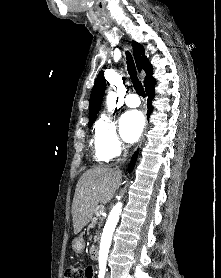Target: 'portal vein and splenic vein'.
Wrapping results in <instances>:
<instances>
[{
    "label": "portal vein and splenic vein",
    "mask_w": 221,
    "mask_h": 278,
    "mask_svg": "<svg viewBox=\"0 0 221 278\" xmlns=\"http://www.w3.org/2000/svg\"><path fill=\"white\" fill-rule=\"evenodd\" d=\"M104 212V205H101L99 208H98V216L102 215Z\"/></svg>",
    "instance_id": "18ae733b"
}]
</instances>
